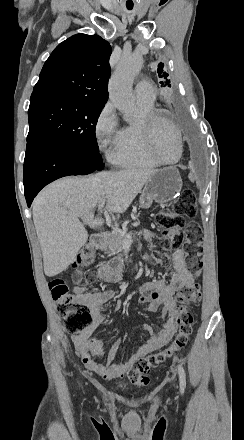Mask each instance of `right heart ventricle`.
Masks as SVG:
<instances>
[{
  "mask_svg": "<svg viewBox=\"0 0 244 440\" xmlns=\"http://www.w3.org/2000/svg\"><path fill=\"white\" fill-rule=\"evenodd\" d=\"M137 109L140 118L137 122L130 123L121 130L116 139L112 160L115 164L124 168H155L159 166V163L153 154L149 153L148 147L145 145L146 141L142 139L144 137L142 134L147 132L142 129V120L155 110L154 102L142 103L137 101ZM121 143H128V150H117V146Z\"/></svg>",
  "mask_w": 244,
  "mask_h": 440,
  "instance_id": "1",
  "label": "right heart ventricle"
}]
</instances>
